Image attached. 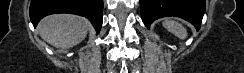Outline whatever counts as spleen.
Here are the masks:
<instances>
[{"label":"spleen","mask_w":244,"mask_h":73,"mask_svg":"<svg viewBox=\"0 0 244 73\" xmlns=\"http://www.w3.org/2000/svg\"><path fill=\"white\" fill-rule=\"evenodd\" d=\"M163 26L172 34L177 36L180 39H185L187 37V30L186 28L181 24L178 23L175 20H165L163 22Z\"/></svg>","instance_id":"1"}]
</instances>
